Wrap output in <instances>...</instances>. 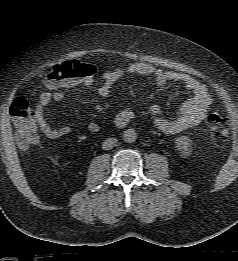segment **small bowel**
<instances>
[{
  "instance_id": "obj_1",
  "label": "small bowel",
  "mask_w": 238,
  "mask_h": 261,
  "mask_svg": "<svg viewBox=\"0 0 238 261\" xmlns=\"http://www.w3.org/2000/svg\"><path fill=\"white\" fill-rule=\"evenodd\" d=\"M127 74L151 76L159 86H164L168 82H177L192 92V96L183 103L173 118L164 117L157 105H152L149 108V114L153 119L155 127L166 134H177L198 125L206 117L209 107L212 104V97L207 87L196 78L180 72L165 71L146 62H133L125 67L105 71L103 73V84L99 87L98 94L103 98L108 97L113 84ZM92 83L93 76H89L77 80L70 86L53 88V90L45 91L40 95L35 107V119L40 130L46 137L57 139L71 132L69 126L58 128L52 126L46 118V107L52 101H62L65 97L66 89L77 85L89 86ZM135 117L136 112L133 109H122L116 114L114 124L122 128L131 123ZM87 128L90 132L95 133L99 130V125L92 121L88 123Z\"/></svg>"
}]
</instances>
